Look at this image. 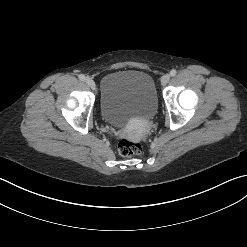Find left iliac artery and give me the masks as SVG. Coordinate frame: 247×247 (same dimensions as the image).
<instances>
[{
    "label": "left iliac artery",
    "instance_id": "obj_1",
    "mask_svg": "<svg viewBox=\"0 0 247 247\" xmlns=\"http://www.w3.org/2000/svg\"><path fill=\"white\" fill-rule=\"evenodd\" d=\"M177 74V71L175 70V69H172L171 71H170V75L171 76H175Z\"/></svg>",
    "mask_w": 247,
    "mask_h": 247
}]
</instances>
